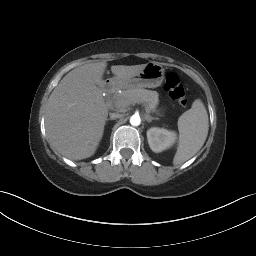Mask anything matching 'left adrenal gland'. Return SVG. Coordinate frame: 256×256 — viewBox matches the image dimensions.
Here are the masks:
<instances>
[{"label": "left adrenal gland", "mask_w": 256, "mask_h": 256, "mask_svg": "<svg viewBox=\"0 0 256 256\" xmlns=\"http://www.w3.org/2000/svg\"><path fill=\"white\" fill-rule=\"evenodd\" d=\"M145 120L150 123L152 120H158V118L152 117L149 114H145Z\"/></svg>", "instance_id": "a2214340"}]
</instances>
